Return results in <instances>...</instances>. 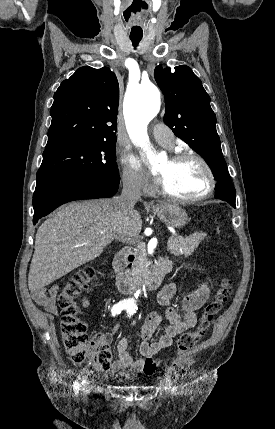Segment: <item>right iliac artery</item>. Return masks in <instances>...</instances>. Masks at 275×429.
<instances>
[{"mask_svg": "<svg viewBox=\"0 0 275 429\" xmlns=\"http://www.w3.org/2000/svg\"><path fill=\"white\" fill-rule=\"evenodd\" d=\"M123 309H125V305H124V304H122V303H118V304H115V305L112 307V309H111V313H112V315H113V316H115V315L120 314V313H121V311H122ZM74 387H75V389H76V390H77V389H79V383H78V382H75Z\"/></svg>", "mask_w": 275, "mask_h": 429, "instance_id": "1", "label": "right iliac artery"}]
</instances>
